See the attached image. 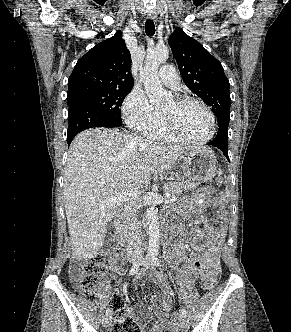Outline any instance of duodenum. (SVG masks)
<instances>
[{"mask_svg":"<svg viewBox=\"0 0 291 332\" xmlns=\"http://www.w3.org/2000/svg\"><path fill=\"white\" fill-rule=\"evenodd\" d=\"M116 238L122 244H129L130 238L122 223L119 221L115 228Z\"/></svg>","mask_w":291,"mask_h":332,"instance_id":"1","label":"duodenum"}]
</instances>
